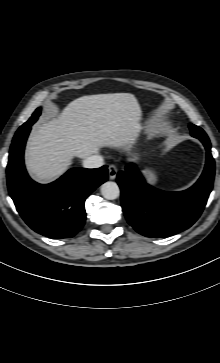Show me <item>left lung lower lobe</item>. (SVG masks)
<instances>
[{
	"mask_svg": "<svg viewBox=\"0 0 220 363\" xmlns=\"http://www.w3.org/2000/svg\"><path fill=\"white\" fill-rule=\"evenodd\" d=\"M195 138L206 148V165L199 180L185 191L154 189L145 183L132 164L118 173L123 211L129 224L140 234L147 237L177 234L188 229L202 213L212 190L215 164L208 137Z\"/></svg>",
	"mask_w": 220,
	"mask_h": 363,
	"instance_id": "0a47b994",
	"label": "left lung lower lobe"
}]
</instances>
